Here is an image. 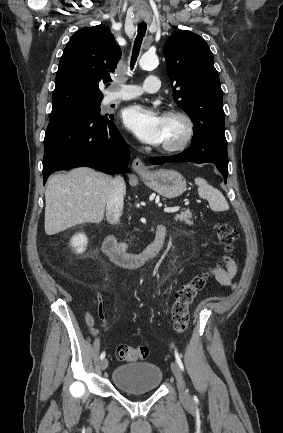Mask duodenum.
Masks as SVG:
<instances>
[{"label": "duodenum", "instance_id": "duodenum-1", "mask_svg": "<svg viewBox=\"0 0 283 433\" xmlns=\"http://www.w3.org/2000/svg\"><path fill=\"white\" fill-rule=\"evenodd\" d=\"M165 225L156 227L152 242L141 253H129L118 243L116 237L109 234L103 241V252L117 265L125 268H140L155 259L163 248L166 238Z\"/></svg>", "mask_w": 283, "mask_h": 433}]
</instances>
